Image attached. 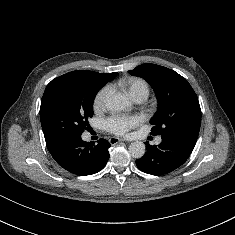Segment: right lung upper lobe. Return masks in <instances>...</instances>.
Returning a JSON list of instances; mask_svg holds the SVG:
<instances>
[{"label":"right lung upper lobe","mask_w":235,"mask_h":235,"mask_svg":"<svg viewBox=\"0 0 235 235\" xmlns=\"http://www.w3.org/2000/svg\"><path fill=\"white\" fill-rule=\"evenodd\" d=\"M116 74L115 73H97L93 71L88 70H78V71H72L67 74H64L56 79H88L93 82H96L102 86H104L107 82L112 80Z\"/></svg>","instance_id":"right-lung-upper-lobe-1"}]
</instances>
